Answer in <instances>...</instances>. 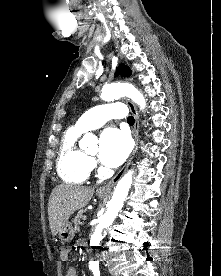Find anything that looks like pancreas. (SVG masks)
Segmentation results:
<instances>
[{
  "label": "pancreas",
  "instance_id": "cf45deb5",
  "mask_svg": "<svg viewBox=\"0 0 221 276\" xmlns=\"http://www.w3.org/2000/svg\"><path fill=\"white\" fill-rule=\"evenodd\" d=\"M83 213H84V210H80L76 215L75 219L73 220L76 230H79V224L81 223L80 220L83 217Z\"/></svg>",
  "mask_w": 221,
  "mask_h": 276
}]
</instances>
